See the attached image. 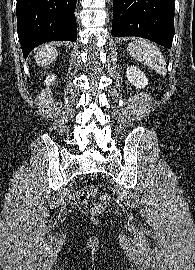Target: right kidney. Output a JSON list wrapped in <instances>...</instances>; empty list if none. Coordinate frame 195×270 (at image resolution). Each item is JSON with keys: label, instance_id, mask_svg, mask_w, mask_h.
I'll return each instance as SVG.
<instances>
[{"label": "right kidney", "instance_id": "right-kidney-1", "mask_svg": "<svg viewBox=\"0 0 195 270\" xmlns=\"http://www.w3.org/2000/svg\"><path fill=\"white\" fill-rule=\"evenodd\" d=\"M55 78V75L48 76L44 81V84H46L47 86L50 85L52 82L55 81Z\"/></svg>", "mask_w": 195, "mask_h": 270}]
</instances>
